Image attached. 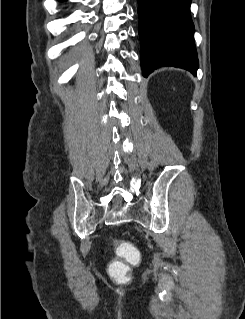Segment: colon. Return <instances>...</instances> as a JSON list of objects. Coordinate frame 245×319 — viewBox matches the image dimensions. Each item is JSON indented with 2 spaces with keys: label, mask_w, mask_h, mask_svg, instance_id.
Returning a JSON list of instances; mask_svg holds the SVG:
<instances>
[{
  "label": "colon",
  "mask_w": 245,
  "mask_h": 319,
  "mask_svg": "<svg viewBox=\"0 0 245 319\" xmlns=\"http://www.w3.org/2000/svg\"><path fill=\"white\" fill-rule=\"evenodd\" d=\"M115 248H116L117 254L120 257L126 259L127 261L131 263H135L138 261V258H139L138 253L136 249L130 243L125 241H118L116 242ZM126 271H127L126 266L122 264H112L110 266V272L114 276L121 277L126 273Z\"/></svg>",
  "instance_id": "obj_1"
}]
</instances>
